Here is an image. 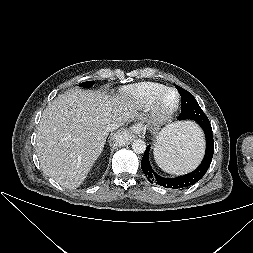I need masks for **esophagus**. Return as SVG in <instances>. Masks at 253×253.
I'll list each match as a JSON object with an SVG mask.
<instances>
[{"instance_id": "esophagus-1", "label": "esophagus", "mask_w": 253, "mask_h": 253, "mask_svg": "<svg viewBox=\"0 0 253 253\" xmlns=\"http://www.w3.org/2000/svg\"><path fill=\"white\" fill-rule=\"evenodd\" d=\"M142 130V128L139 125H133L132 127H130L129 129H123L119 132V134H128V135H132L133 137H135L133 134H138L140 133Z\"/></svg>"}]
</instances>
